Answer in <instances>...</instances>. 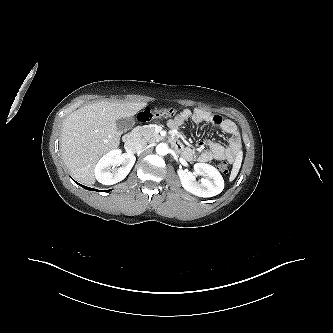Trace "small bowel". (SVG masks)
<instances>
[{"label":"small bowel","instance_id":"1","mask_svg":"<svg viewBox=\"0 0 333 333\" xmlns=\"http://www.w3.org/2000/svg\"><path fill=\"white\" fill-rule=\"evenodd\" d=\"M189 119L194 123H207L220 129L229 135V140L227 145H223L217 141L206 140L198 143L194 148L184 147L181 143L178 149L186 159L198 160L200 162L223 159L231 162L234 161L241 147V137L233 121L205 110L184 109L168 121V126L171 129H177Z\"/></svg>","mask_w":333,"mask_h":333}]
</instances>
